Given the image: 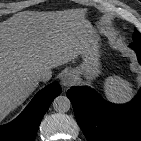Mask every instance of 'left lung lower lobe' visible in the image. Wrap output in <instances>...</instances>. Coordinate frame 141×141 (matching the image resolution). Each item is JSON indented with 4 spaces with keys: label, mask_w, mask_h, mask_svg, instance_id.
I'll use <instances>...</instances> for the list:
<instances>
[{
    "label": "left lung lower lobe",
    "mask_w": 141,
    "mask_h": 141,
    "mask_svg": "<svg viewBox=\"0 0 141 141\" xmlns=\"http://www.w3.org/2000/svg\"><path fill=\"white\" fill-rule=\"evenodd\" d=\"M130 47L141 64V42ZM67 97L87 141H141V90L124 105L103 100L89 87H71Z\"/></svg>",
    "instance_id": "left-lung-lower-lobe-1"
}]
</instances>
